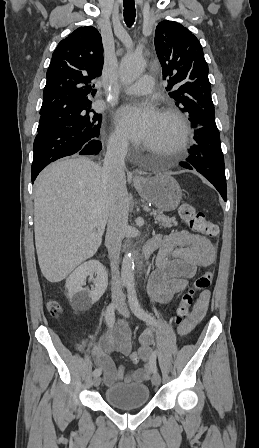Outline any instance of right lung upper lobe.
<instances>
[{
    "label": "right lung upper lobe",
    "mask_w": 259,
    "mask_h": 448,
    "mask_svg": "<svg viewBox=\"0 0 259 448\" xmlns=\"http://www.w3.org/2000/svg\"><path fill=\"white\" fill-rule=\"evenodd\" d=\"M103 68L101 35L92 26L80 27L59 42L47 70L40 114L92 104L93 83Z\"/></svg>",
    "instance_id": "cb5924a9"
}]
</instances>
